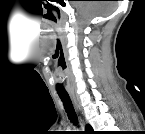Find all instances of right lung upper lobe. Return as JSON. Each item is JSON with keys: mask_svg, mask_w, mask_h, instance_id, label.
Segmentation results:
<instances>
[{"mask_svg": "<svg viewBox=\"0 0 145 134\" xmlns=\"http://www.w3.org/2000/svg\"><path fill=\"white\" fill-rule=\"evenodd\" d=\"M86 132L87 133H93V129L89 124L86 125Z\"/></svg>", "mask_w": 145, "mask_h": 134, "instance_id": "cb5924a9", "label": "right lung upper lobe"}]
</instances>
